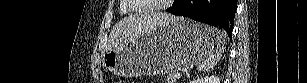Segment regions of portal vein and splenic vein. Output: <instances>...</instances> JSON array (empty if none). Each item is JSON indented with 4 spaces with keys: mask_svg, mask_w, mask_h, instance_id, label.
<instances>
[{
    "mask_svg": "<svg viewBox=\"0 0 307 83\" xmlns=\"http://www.w3.org/2000/svg\"><path fill=\"white\" fill-rule=\"evenodd\" d=\"M175 78L179 79L180 78V74H175Z\"/></svg>",
    "mask_w": 307,
    "mask_h": 83,
    "instance_id": "portal-vein-and-splenic-vein-1",
    "label": "portal vein and splenic vein"
}]
</instances>
